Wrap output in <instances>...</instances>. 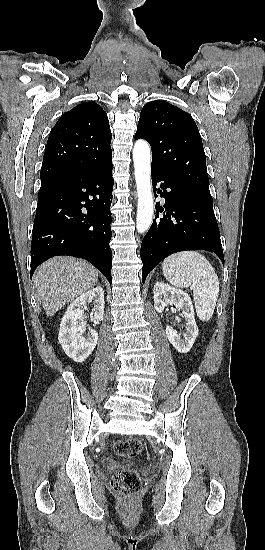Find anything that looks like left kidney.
Masks as SVG:
<instances>
[{
  "mask_svg": "<svg viewBox=\"0 0 265 550\" xmlns=\"http://www.w3.org/2000/svg\"><path fill=\"white\" fill-rule=\"evenodd\" d=\"M169 304L174 305L179 311L183 310L180 315L186 321V330L184 333L178 334L171 326H166L167 338L178 352L187 353L192 348L199 332L190 296L180 289L163 282H157L154 285V307L156 311L163 312Z\"/></svg>",
  "mask_w": 265,
  "mask_h": 550,
  "instance_id": "obj_1",
  "label": "left kidney"
}]
</instances>
